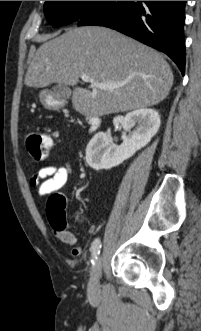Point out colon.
<instances>
[{"label": "colon", "instance_id": "5ec220e1", "mask_svg": "<svg viewBox=\"0 0 201 331\" xmlns=\"http://www.w3.org/2000/svg\"><path fill=\"white\" fill-rule=\"evenodd\" d=\"M26 148L34 160L42 161L49 156L52 141L45 133L33 131L26 138ZM63 202L64 197L56 193L50 198L49 207L52 211H56L61 208Z\"/></svg>", "mask_w": 201, "mask_h": 331}]
</instances>
